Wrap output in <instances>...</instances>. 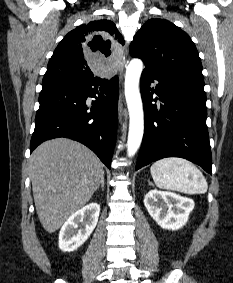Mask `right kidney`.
<instances>
[{"mask_svg":"<svg viewBox=\"0 0 233 283\" xmlns=\"http://www.w3.org/2000/svg\"><path fill=\"white\" fill-rule=\"evenodd\" d=\"M100 213L97 203H90L72 214L59 233V248L72 252L79 248L95 229Z\"/></svg>","mask_w":233,"mask_h":283,"instance_id":"right-kidney-1","label":"right kidney"}]
</instances>
